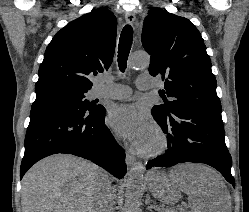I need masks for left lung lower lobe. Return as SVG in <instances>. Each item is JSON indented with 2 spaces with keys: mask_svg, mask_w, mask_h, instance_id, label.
<instances>
[{
  "mask_svg": "<svg viewBox=\"0 0 249 212\" xmlns=\"http://www.w3.org/2000/svg\"><path fill=\"white\" fill-rule=\"evenodd\" d=\"M167 134L168 151L147 163L152 167H170L178 163H204L216 168L234 184L232 159L225 144L221 112L203 109H181L170 116L151 110Z\"/></svg>",
  "mask_w": 249,
  "mask_h": 212,
  "instance_id": "0a47b994",
  "label": "left lung lower lobe"
}]
</instances>
